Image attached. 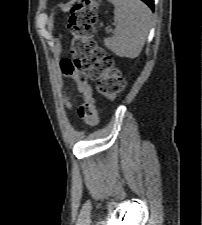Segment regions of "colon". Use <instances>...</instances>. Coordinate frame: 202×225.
I'll return each mask as SVG.
<instances>
[{
    "instance_id": "1",
    "label": "colon",
    "mask_w": 202,
    "mask_h": 225,
    "mask_svg": "<svg viewBox=\"0 0 202 225\" xmlns=\"http://www.w3.org/2000/svg\"><path fill=\"white\" fill-rule=\"evenodd\" d=\"M97 6L96 0H78L74 5L68 25L72 58L61 64L63 73L73 77L82 95L78 116L90 126L98 124V112L89 79L97 80L98 92L109 100L124 89L121 71L115 67L113 58L92 39Z\"/></svg>"
}]
</instances>
